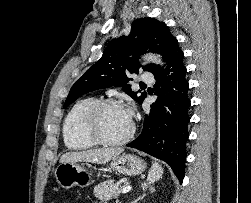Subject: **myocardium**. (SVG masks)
I'll use <instances>...</instances> for the list:
<instances>
[{"instance_id":"myocardium-1","label":"myocardium","mask_w":251,"mask_h":203,"mask_svg":"<svg viewBox=\"0 0 251 203\" xmlns=\"http://www.w3.org/2000/svg\"><path fill=\"white\" fill-rule=\"evenodd\" d=\"M109 106H122L121 103L115 99H101L96 101L87 110L83 120L84 133L92 139L95 143L104 146H118L127 143L135 133V124L131 121V128L129 132L119 139H108L100 131L99 120L102 111Z\"/></svg>"}]
</instances>
